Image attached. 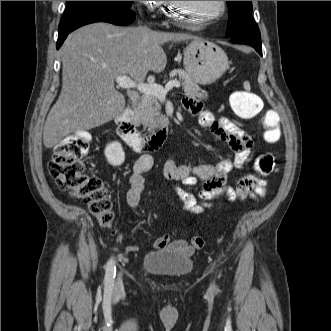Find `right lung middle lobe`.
I'll list each match as a JSON object with an SVG mask.
<instances>
[{"label": "right lung middle lobe", "instance_id": "obj_1", "mask_svg": "<svg viewBox=\"0 0 331 331\" xmlns=\"http://www.w3.org/2000/svg\"><path fill=\"white\" fill-rule=\"evenodd\" d=\"M132 3L133 1H68L59 29L97 14L129 10Z\"/></svg>", "mask_w": 331, "mask_h": 331}]
</instances>
